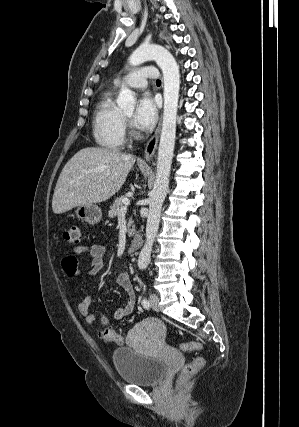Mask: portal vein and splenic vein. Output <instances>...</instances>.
Listing matches in <instances>:
<instances>
[{"mask_svg": "<svg viewBox=\"0 0 299 427\" xmlns=\"http://www.w3.org/2000/svg\"><path fill=\"white\" fill-rule=\"evenodd\" d=\"M124 206L120 209V213L123 214L127 211V207L130 205V201L128 199L123 200Z\"/></svg>", "mask_w": 299, "mask_h": 427, "instance_id": "obj_1", "label": "portal vein and splenic vein"}]
</instances>
